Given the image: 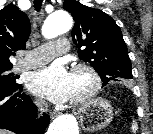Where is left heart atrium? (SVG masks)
<instances>
[{
    "label": "left heart atrium",
    "instance_id": "1",
    "mask_svg": "<svg viewBox=\"0 0 153 134\" xmlns=\"http://www.w3.org/2000/svg\"><path fill=\"white\" fill-rule=\"evenodd\" d=\"M27 85L35 95L55 103L69 100L72 93L71 73L61 63L32 72Z\"/></svg>",
    "mask_w": 153,
    "mask_h": 134
}]
</instances>
